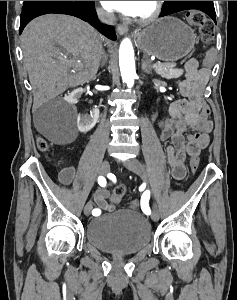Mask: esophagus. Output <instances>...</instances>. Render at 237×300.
<instances>
[{
    "instance_id": "34e87169",
    "label": "esophagus",
    "mask_w": 237,
    "mask_h": 300,
    "mask_svg": "<svg viewBox=\"0 0 237 300\" xmlns=\"http://www.w3.org/2000/svg\"><path fill=\"white\" fill-rule=\"evenodd\" d=\"M116 30H117V33H119L120 35H123L128 32V26H126V24H118V26L116 27Z\"/></svg>"
}]
</instances>
